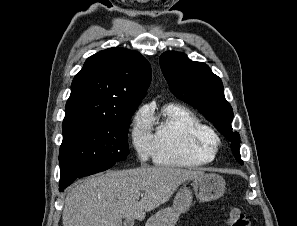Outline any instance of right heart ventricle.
Instances as JSON below:
<instances>
[{
  "label": "right heart ventricle",
  "mask_w": 297,
  "mask_h": 226,
  "mask_svg": "<svg viewBox=\"0 0 297 226\" xmlns=\"http://www.w3.org/2000/svg\"><path fill=\"white\" fill-rule=\"evenodd\" d=\"M153 134V158L156 164L194 168L212 162L217 136L213 128L190 109L167 104L159 115L150 112Z\"/></svg>",
  "instance_id": "right-heart-ventricle-1"
}]
</instances>
